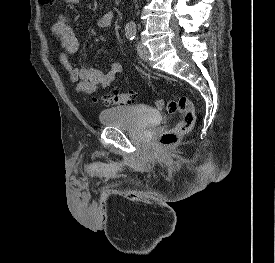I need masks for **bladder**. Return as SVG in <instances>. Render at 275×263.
Returning <instances> with one entry per match:
<instances>
[{
    "label": "bladder",
    "mask_w": 275,
    "mask_h": 263,
    "mask_svg": "<svg viewBox=\"0 0 275 263\" xmlns=\"http://www.w3.org/2000/svg\"><path fill=\"white\" fill-rule=\"evenodd\" d=\"M98 120L105 127L140 130L159 124L161 115L147 105L118 106L101 111Z\"/></svg>",
    "instance_id": "obj_1"
}]
</instances>
